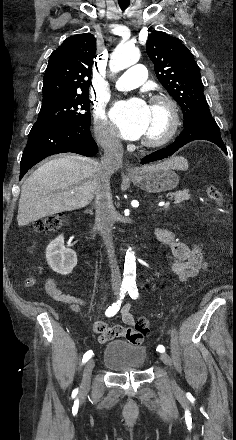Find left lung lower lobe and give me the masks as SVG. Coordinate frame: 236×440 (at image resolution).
Instances as JSON below:
<instances>
[{"label": "left lung lower lobe", "mask_w": 236, "mask_h": 440, "mask_svg": "<svg viewBox=\"0 0 236 440\" xmlns=\"http://www.w3.org/2000/svg\"><path fill=\"white\" fill-rule=\"evenodd\" d=\"M194 140L211 141L219 146L226 155L228 154L227 149L222 141L217 123L213 119L211 113H205L200 115L187 127H185L173 144L145 156L141 160V164L167 158L174 154L179 148Z\"/></svg>", "instance_id": "obj_1"}]
</instances>
